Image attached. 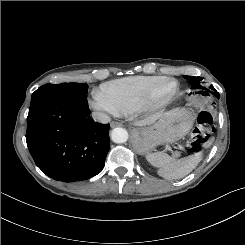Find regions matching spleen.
I'll return each instance as SVG.
<instances>
[{"mask_svg":"<svg viewBox=\"0 0 245 245\" xmlns=\"http://www.w3.org/2000/svg\"><path fill=\"white\" fill-rule=\"evenodd\" d=\"M146 159L158 168L160 176L166 180H174L181 179L193 171L202 159V152L176 160L161 151L146 155Z\"/></svg>","mask_w":245,"mask_h":245,"instance_id":"3e777b00","label":"spleen"}]
</instances>
